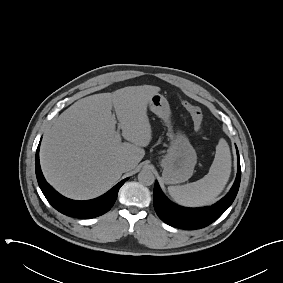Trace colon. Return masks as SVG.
Segmentation results:
<instances>
[{
	"label": "colon",
	"instance_id": "obj_1",
	"mask_svg": "<svg viewBox=\"0 0 283 283\" xmlns=\"http://www.w3.org/2000/svg\"><path fill=\"white\" fill-rule=\"evenodd\" d=\"M182 104L186 111L190 114L195 130L197 132H201L204 118L202 110L198 106L186 100L182 101Z\"/></svg>",
	"mask_w": 283,
	"mask_h": 283
}]
</instances>
